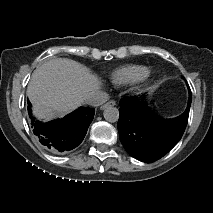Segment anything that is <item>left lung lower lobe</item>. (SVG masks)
<instances>
[{
  "label": "left lung lower lobe",
  "mask_w": 213,
  "mask_h": 213,
  "mask_svg": "<svg viewBox=\"0 0 213 213\" xmlns=\"http://www.w3.org/2000/svg\"><path fill=\"white\" fill-rule=\"evenodd\" d=\"M188 90L189 101L185 112L172 120L155 116L138 97L120 100L117 127L120 141L132 157L142 162H154L177 144L189 117L192 100L189 86Z\"/></svg>",
  "instance_id": "1"
}]
</instances>
